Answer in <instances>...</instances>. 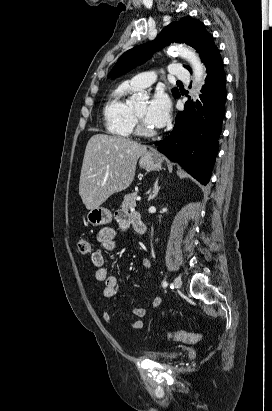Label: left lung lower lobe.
Masks as SVG:
<instances>
[{
    "label": "left lung lower lobe",
    "instance_id": "1",
    "mask_svg": "<svg viewBox=\"0 0 272 411\" xmlns=\"http://www.w3.org/2000/svg\"><path fill=\"white\" fill-rule=\"evenodd\" d=\"M205 66L207 76L200 100L186 103L184 111L177 114L170 135L155 143L158 151L204 185L211 176L225 114L226 76L218 48Z\"/></svg>",
    "mask_w": 272,
    "mask_h": 411
}]
</instances>
